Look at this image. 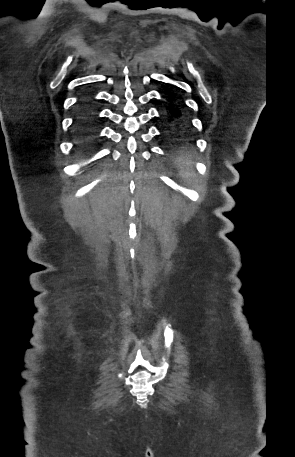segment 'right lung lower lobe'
<instances>
[{
    "instance_id": "1",
    "label": "right lung lower lobe",
    "mask_w": 295,
    "mask_h": 457,
    "mask_svg": "<svg viewBox=\"0 0 295 457\" xmlns=\"http://www.w3.org/2000/svg\"><path fill=\"white\" fill-rule=\"evenodd\" d=\"M90 101L85 98L80 101V112H81V117L83 122H89L92 119V114L89 108Z\"/></svg>"
}]
</instances>
